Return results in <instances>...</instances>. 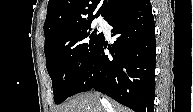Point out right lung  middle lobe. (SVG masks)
<instances>
[{"label": "right lung middle lobe", "mask_w": 193, "mask_h": 112, "mask_svg": "<svg viewBox=\"0 0 193 112\" xmlns=\"http://www.w3.org/2000/svg\"><path fill=\"white\" fill-rule=\"evenodd\" d=\"M104 39L91 23L66 28L45 43L47 70L52 79L54 100L62 103L93 58Z\"/></svg>", "instance_id": "obj_1"}]
</instances>
